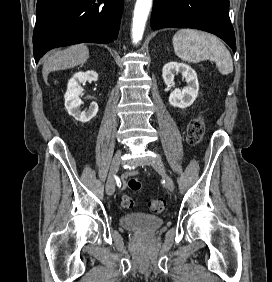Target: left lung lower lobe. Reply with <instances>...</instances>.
<instances>
[{
	"label": "left lung lower lobe",
	"mask_w": 272,
	"mask_h": 282,
	"mask_svg": "<svg viewBox=\"0 0 272 282\" xmlns=\"http://www.w3.org/2000/svg\"><path fill=\"white\" fill-rule=\"evenodd\" d=\"M229 0H154L150 25L195 28L222 38L235 52V34L229 14Z\"/></svg>",
	"instance_id": "obj_1"
}]
</instances>
